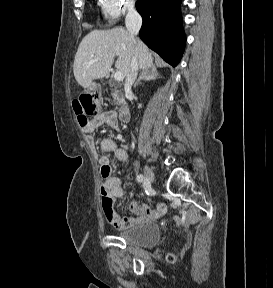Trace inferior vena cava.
Returning <instances> with one entry per match:
<instances>
[{
    "label": "inferior vena cava",
    "mask_w": 273,
    "mask_h": 288,
    "mask_svg": "<svg viewBox=\"0 0 273 288\" xmlns=\"http://www.w3.org/2000/svg\"><path fill=\"white\" fill-rule=\"evenodd\" d=\"M125 25L129 34L134 38V36L138 34L142 25V18L134 7L129 8L125 19ZM138 68V59L137 54L135 53L131 59L130 69L125 79L124 89L126 93L132 92V86L138 75Z\"/></svg>",
    "instance_id": "602c4592"
}]
</instances>
